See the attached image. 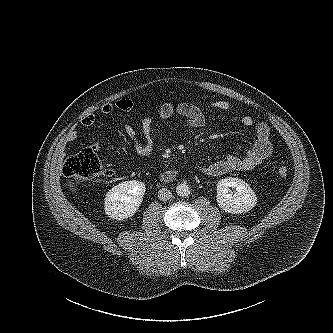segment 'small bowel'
<instances>
[{
  "label": "small bowel",
  "instance_id": "c3829d8e",
  "mask_svg": "<svg viewBox=\"0 0 333 333\" xmlns=\"http://www.w3.org/2000/svg\"><path fill=\"white\" fill-rule=\"evenodd\" d=\"M215 110L228 112L231 110L229 102L217 100L211 104ZM133 108V102L130 99H120L114 103H107L101 107V112L104 114H112L114 112H129ZM179 114L184 119L185 126L189 128H199L205 125L206 116L203 109L196 104L189 102H164L158 109L157 120L146 115L141 119L140 132L132 125L124 124L123 132L131 140L133 150L141 156L151 154L157 142V130L161 123L167 122L174 114ZM96 117L94 114H89L82 118L83 126H91L95 123ZM239 123L244 127H254L256 140L254 144L245 152L243 156L232 154L225 155L220 160H217L206 166H198V170L210 175L220 176L232 171H251L259 166L264 160L268 159L272 154V143L270 141V128L264 122L255 123L250 115H241L238 118ZM77 138V132L71 130L65 137L66 143H71ZM93 149H98V144L93 146ZM111 173V172H110Z\"/></svg>",
  "mask_w": 333,
  "mask_h": 333
}]
</instances>
